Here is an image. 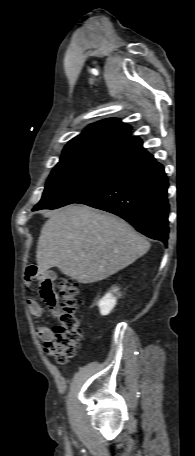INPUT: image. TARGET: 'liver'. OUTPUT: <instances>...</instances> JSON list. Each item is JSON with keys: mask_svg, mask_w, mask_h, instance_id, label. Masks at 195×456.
<instances>
[{"mask_svg": "<svg viewBox=\"0 0 195 456\" xmlns=\"http://www.w3.org/2000/svg\"><path fill=\"white\" fill-rule=\"evenodd\" d=\"M150 248L145 237L123 219L84 205H68L50 214L37 245V267H57L87 284L132 264Z\"/></svg>", "mask_w": 195, "mask_h": 456, "instance_id": "1", "label": "liver"}]
</instances>
